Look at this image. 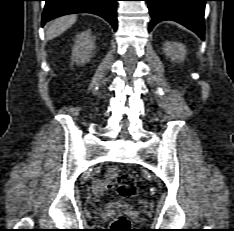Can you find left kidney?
<instances>
[{"mask_svg":"<svg viewBox=\"0 0 234 231\" xmlns=\"http://www.w3.org/2000/svg\"><path fill=\"white\" fill-rule=\"evenodd\" d=\"M163 52L172 61H183L186 55V47L182 43L166 42L163 46Z\"/></svg>","mask_w":234,"mask_h":231,"instance_id":"obj_1","label":"left kidney"}]
</instances>
